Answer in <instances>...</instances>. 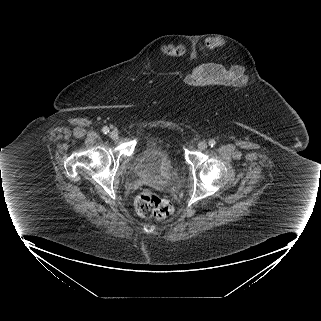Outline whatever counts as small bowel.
Segmentation results:
<instances>
[{
  "instance_id": "small-bowel-1",
  "label": "small bowel",
  "mask_w": 321,
  "mask_h": 321,
  "mask_svg": "<svg viewBox=\"0 0 321 321\" xmlns=\"http://www.w3.org/2000/svg\"><path fill=\"white\" fill-rule=\"evenodd\" d=\"M186 85L201 84L204 88H212L219 86H249L253 79L249 75H245L239 67L230 69L216 63L205 64L197 67L193 72H188L184 76Z\"/></svg>"
}]
</instances>
